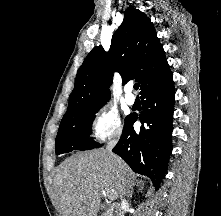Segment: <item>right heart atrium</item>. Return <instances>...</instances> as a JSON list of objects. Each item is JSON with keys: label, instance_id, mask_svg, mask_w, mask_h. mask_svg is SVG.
<instances>
[{"label": "right heart atrium", "instance_id": "right-heart-atrium-1", "mask_svg": "<svg viewBox=\"0 0 221 216\" xmlns=\"http://www.w3.org/2000/svg\"><path fill=\"white\" fill-rule=\"evenodd\" d=\"M122 130V122L118 112L111 107L103 106L94 114L90 135L96 141H105L119 138Z\"/></svg>", "mask_w": 221, "mask_h": 216}]
</instances>
